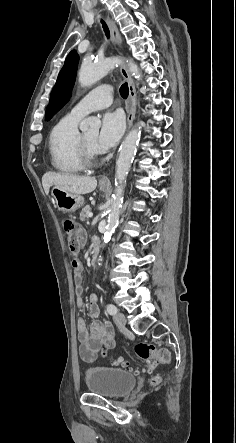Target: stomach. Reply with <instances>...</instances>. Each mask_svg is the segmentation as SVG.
I'll return each instance as SVG.
<instances>
[{"instance_id": "0dacf381", "label": "stomach", "mask_w": 236, "mask_h": 443, "mask_svg": "<svg viewBox=\"0 0 236 443\" xmlns=\"http://www.w3.org/2000/svg\"><path fill=\"white\" fill-rule=\"evenodd\" d=\"M106 191L105 187H100ZM52 199L55 206L63 212H75L84 204V198L79 194H73L54 186L51 190Z\"/></svg>"}]
</instances>
